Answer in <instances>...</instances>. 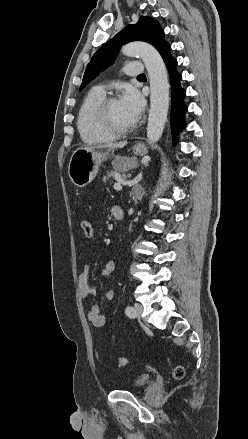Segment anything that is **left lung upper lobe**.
Returning a JSON list of instances; mask_svg holds the SVG:
<instances>
[{"mask_svg": "<svg viewBox=\"0 0 248 439\" xmlns=\"http://www.w3.org/2000/svg\"><path fill=\"white\" fill-rule=\"evenodd\" d=\"M163 37L164 32L156 20L147 16H141L136 24L126 26L96 51L87 65L80 90L97 77L99 72L112 64L119 48L123 44L137 40L144 41L153 45L160 53L168 45L163 40Z\"/></svg>", "mask_w": 248, "mask_h": 439, "instance_id": "obj_1", "label": "left lung upper lobe"}]
</instances>
